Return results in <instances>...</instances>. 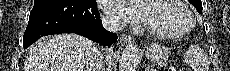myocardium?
<instances>
[{"label": "myocardium", "instance_id": "f54148a6", "mask_svg": "<svg viewBox=\"0 0 230 71\" xmlns=\"http://www.w3.org/2000/svg\"><path fill=\"white\" fill-rule=\"evenodd\" d=\"M175 2L177 5H179L183 11L185 12L187 19H188V24L187 26L182 29L181 31L178 32H162V31H157L149 27L148 25H144L143 29L152 37L159 38V39H180L188 35L196 26V19L195 15L192 11V9L187 5L185 1L181 0H172Z\"/></svg>", "mask_w": 230, "mask_h": 71}]
</instances>
